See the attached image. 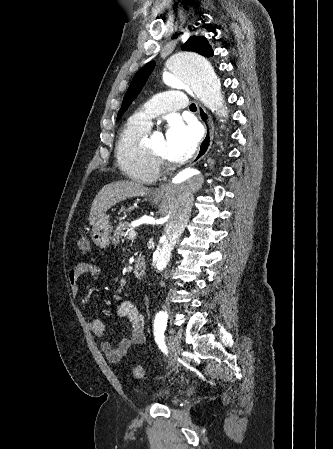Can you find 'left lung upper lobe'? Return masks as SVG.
<instances>
[{
	"label": "left lung upper lobe",
	"instance_id": "1",
	"mask_svg": "<svg viewBox=\"0 0 333 449\" xmlns=\"http://www.w3.org/2000/svg\"><path fill=\"white\" fill-rule=\"evenodd\" d=\"M182 50L197 52L207 57L213 55L212 48L209 46L207 39L203 36H191L182 46ZM153 67L154 62L147 63L136 73L127 90V93L124 96L122 107L118 113L117 119L122 116L134 98L141 91Z\"/></svg>",
	"mask_w": 333,
	"mask_h": 449
}]
</instances>
